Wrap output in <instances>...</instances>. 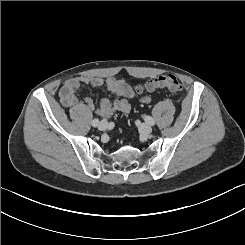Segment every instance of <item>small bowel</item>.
<instances>
[{
	"instance_id": "obj_1",
	"label": "small bowel",
	"mask_w": 245,
	"mask_h": 245,
	"mask_svg": "<svg viewBox=\"0 0 245 245\" xmlns=\"http://www.w3.org/2000/svg\"><path fill=\"white\" fill-rule=\"evenodd\" d=\"M91 87L105 86L106 89L116 98L110 100L102 99L96 106L92 99L85 97L79 99L76 96L81 86ZM136 97V93L123 79L116 77L102 78L99 76H77L64 81L59 91V98L62 105L69 108L71 118L79 125H85L92 113L95 112L101 117H110L116 112L128 113L131 110V100ZM141 103H148L150 97L143 95L139 98Z\"/></svg>"
}]
</instances>
